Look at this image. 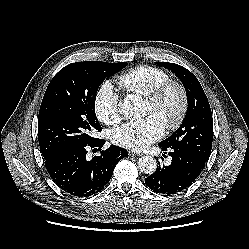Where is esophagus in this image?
Returning <instances> with one entry per match:
<instances>
[{"label": "esophagus", "mask_w": 249, "mask_h": 249, "mask_svg": "<svg viewBox=\"0 0 249 249\" xmlns=\"http://www.w3.org/2000/svg\"><path fill=\"white\" fill-rule=\"evenodd\" d=\"M130 156H141L140 153L134 152V151H129L128 152Z\"/></svg>", "instance_id": "1"}]
</instances>
